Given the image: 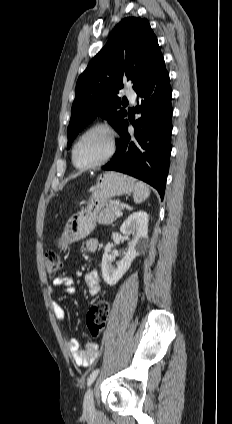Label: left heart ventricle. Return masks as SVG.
<instances>
[{"mask_svg": "<svg viewBox=\"0 0 232 424\" xmlns=\"http://www.w3.org/2000/svg\"><path fill=\"white\" fill-rule=\"evenodd\" d=\"M109 149V137L102 131H94L86 135L76 149V162L88 165L103 157Z\"/></svg>", "mask_w": 232, "mask_h": 424, "instance_id": "b2bd125f", "label": "left heart ventricle"}]
</instances>
